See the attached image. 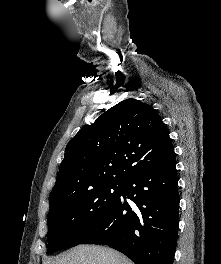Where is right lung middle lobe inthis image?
I'll return each instance as SVG.
<instances>
[{
	"mask_svg": "<svg viewBox=\"0 0 221 264\" xmlns=\"http://www.w3.org/2000/svg\"><path fill=\"white\" fill-rule=\"evenodd\" d=\"M123 183H109L75 193L49 211L48 253L79 244L113 210Z\"/></svg>",
	"mask_w": 221,
	"mask_h": 264,
	"instance_id": "dd1d6c3e",
	"label": "right lung middle lobe"
}]
</instances>
